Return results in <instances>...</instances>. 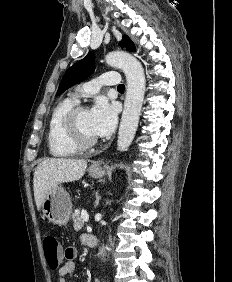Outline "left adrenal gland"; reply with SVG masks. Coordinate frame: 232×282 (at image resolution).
<instances>
[{
	"label": "left adrenal gland",
	"instance_id": "1",
	"mask_svg": "<svg viewBox=\"0 0 232 282\" xmlns=\"http://www.w3.org/2000/svg\"><path fill=\"white\" fill-rule=\"evenodd\" d=\"M100 199L101 197L98 195V193H96L95 206H98Z\"/></svg>",
	"mask_w": 232,
	"mask_h": 282
}]
</instances>
